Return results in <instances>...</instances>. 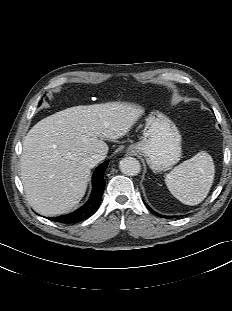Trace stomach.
<instances>
[{
  "label": "stomach",
  "instance_id": "0dacf381",
  "mask_svg": "<svg viewBox=\"0 0 232 311\" xmlns=\"http://www.w3.org/2000/svg\"><path fill=\"white\" fill-rule=\"evenodd\" d=\"M181 134L166 115L152 112L147 118L141 141L130 145L129 152L145 157L154 172H160L175 165L181 158Z\"/></svg>",
  "mask_w": 232,
  "mask_h": 311
}]
</instances>
